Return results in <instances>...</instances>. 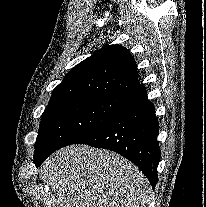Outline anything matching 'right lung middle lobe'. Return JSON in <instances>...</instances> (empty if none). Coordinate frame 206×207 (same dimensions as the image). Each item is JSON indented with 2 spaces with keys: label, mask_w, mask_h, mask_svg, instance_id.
<instances>
[{
  "label": "right lung middle lobe",
  "mask_w": 206,
  "mask_h": 207,
  "mask_svg": "<svg viewBox=\"0 0 206 207\" xmlns=\"http://www.w3.org/2000/svg\"><path fill=\"white\" fill-rule=\"evenodd\" d=\"M127 96L78 97L49 102L41 116L35 156L75 144L127 106Z\"/></svg>",
  "instance_id": "dd1d6c3e"
}]
</instances>
